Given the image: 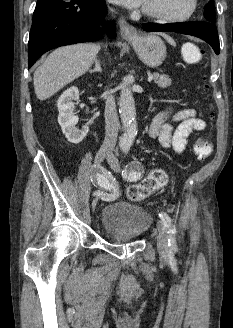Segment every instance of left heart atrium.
Masks as SVG:
<instances>
[{
  "instance_id": "obj_1",
  "label": "left heart atrium",
  "mask_w": 233,
  "mask_h": 328,
  "mask_svg": "<svg viewBox=\"0 0 233 328\" xmlns=\"http://www.w3.org/2000/svg\"><path fill=\"white\" fill-rule=\"evenodd\" d=\"M113 2L122 4L128 8H139L142 7L146 0H111Z\"/></svg>"
}]
</instances>
